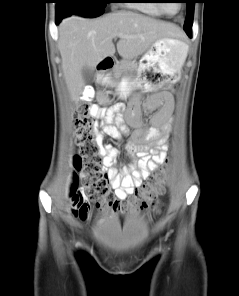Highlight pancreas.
Returning a JSON list of instances; mask_svg holds the SVG:
<instances>
[{"label": "pancreas", "instance_id": "obj_1", "mask_svg": "<svg viewBox=\"0 0 239 296\" xmlns=\"http://www.w3.org/2000/svg\"><path fill=\"white\" fill-rule=\"evenodd\" d=\"M136 74H138L137 63L130 60H122L119 63H117L113 68V75L110 81V85H115L123 75ZM97 94L100 99H103V101L106 102L107 94L105 91H98Z\"/></svg>", "mask_w": 239, "mask_h": 296}]
</instances>
